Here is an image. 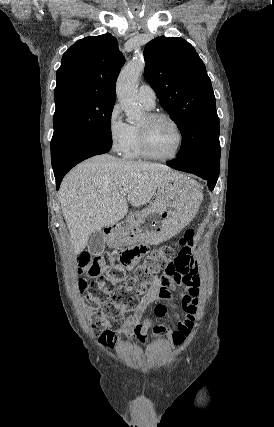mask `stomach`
Returning <instances> with one entry per match:
<instances>
[{
	"instance_id": "0dacf381",
	"label": "stomach",
	"mask_w": 274,
	"mask_h": 427,
	"mask_svg": "<svg viewBox=\"0 0 274 427\" xmlns=\"http://www.w3.org/2000/svg\"><path fill=\"white\" fill-rule=\"evenodd\" d=\"M194 180L186 176H171L168 188H159L157 200L151 208L140 212L127 225H116L106 233L110 247H124L136 241L156 245L176 235L191 221L198 208V192Z\"/></svg>"
}]
</instances>
